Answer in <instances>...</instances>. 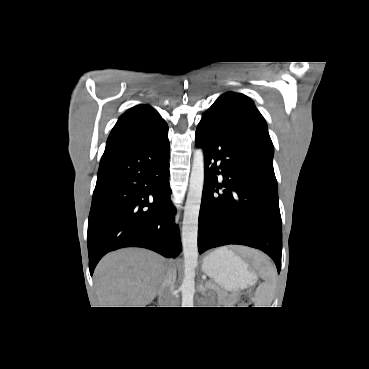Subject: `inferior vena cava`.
I'll list each match as a JSON object with an SVG mask.
<instances>
[{
    "label": "inferior vena cava",
    "mask_w": 369,
    "mask_h": 369,
    "mask_svg": "<svg viewBox=\"0 0 369 369\" xmlns=\"http://www.w3.org/2000/svg\"><path fill=\"white\" fill-rule=\"evenodd\" d=\"M176 270L168 269L160 286V298L164 301V307H177L178 300L174 294Z\"/></svg>",
    "instance_id": "inferior-vena-cava-1"
}]
</instances>
